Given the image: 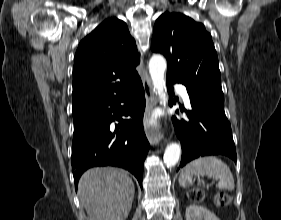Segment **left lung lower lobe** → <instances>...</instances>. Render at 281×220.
Returning a JSON list of instances; mask_svg holds the SVG:
<instances>
[{
    "label": "left lung lower lobe",
    "instance_id": "1",
    "mask_svg": "<svg viewBox=\"0 0 281 220\" xmlns=\"http://www.w3.org/2000/svg\"><path fill=\"white\" fill-rule=\"evenodd\" d=\"M174 83L179 82L167 80L171 95ZM186 87L192 107L191 111L186 112L190 121L174 118L175 132L182 146L179 168L195 158L216 154L226 155L236 162V149L224 112V102L207 98L200 89Z\"/></svg>",
    "mask_w": 281,
    "mask_h": 220
}]
</instances>
